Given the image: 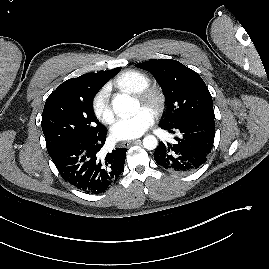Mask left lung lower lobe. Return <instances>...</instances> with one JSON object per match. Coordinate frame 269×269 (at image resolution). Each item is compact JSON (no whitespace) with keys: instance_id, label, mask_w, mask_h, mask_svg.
<instances>
[{"instance_id":"obj_1","label":"left lung lower lobe","mask_w":269,"mask_h":269,"mask_svg":"<svg viewBox=\"0 0 269 269\" xmlns=\"http://www.w3.org/2000/svg\"><path fill=\"white\" fill-rule=\"evenodd\" d=\"M170 133H179L174 144L160 142L154 159L163 168L174 173H190L200 168L207 160L214 143L215 121L194 118L174 125H162Z\"/></svg>"}]
</instances>
